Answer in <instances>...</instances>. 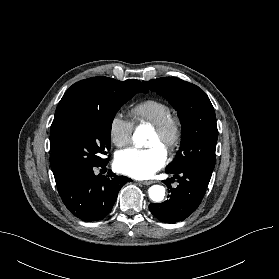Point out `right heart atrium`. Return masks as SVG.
I'll return each instance as SVG.
<instances>
[{
	"label": "right heart atrium",
	"mask_w": 279,
	"mask_h": 279,
	"mask_svg": "<svg viewBox=\"0 0 279 279\" xmlns=\"http://www.w3.org/2000/svg\"><path fill=\"white\" fill-rule=\"evenodd\" d=\"M108 132L111 142L117 147H123L131 139L133 122L122 113L117 112L109 122Z\"/></svg>",
	"instance_id": "right-heart-atrium-1"
}]
</instances>
